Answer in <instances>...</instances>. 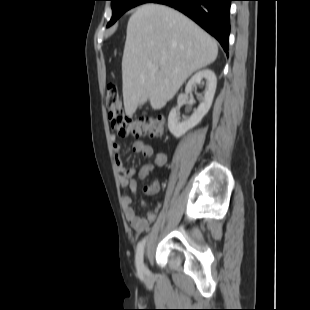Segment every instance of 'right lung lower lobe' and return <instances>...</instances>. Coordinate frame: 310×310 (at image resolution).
<instances>
[{"mask_svg":"<svg viewBox=\"0 0 310 310\" xmlns=\"http://www.w3.org/2000/svg\"><path fill=\"white\" fill-rule=\"evenodd\" d=\"M233 0H150L173 7L214 36L228 52L230 5Z\"/></svg>","mask_w":310,"mask_h":310,"instance_id":"right-lung-lower-lobe-1","label":"right lung lower lobe"}]
</instances>
